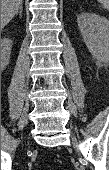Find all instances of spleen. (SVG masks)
<instances>
[{"instance_id": "1", "label": "spleen", "mask_w": 109, "mask_h": 170, "mask_svg": "<svg viewBox=\"0 0 109 170\" xmlns=\"http://www.w3.org/2000/svg\"><path fill=\"white\" fill-rule=\"evenodd\" d=\"M98 2H100L101 4H103L105 7H109V0H97Z\"/></svg>"}]
</instances>
